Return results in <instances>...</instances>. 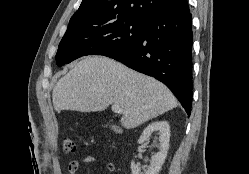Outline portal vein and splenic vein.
<instances>
[{
    "instance_id": "obj_1",
    "label": "portal vein and splenic vein",
    "mask_w": 249,
    "mask_h": 174,
    "mask_svg": "<svg viewBox=\"0 0 249 174\" xmlns=\"http://www.w3.org/2000/svg\"><path fill=\"white\" fill-rule=\"evenodd\" d=\"M112 111L114 113H118V114H122L123 110L121 109V107L118 104H113L112 105Z\"/></svg>"
}]
</instances>
